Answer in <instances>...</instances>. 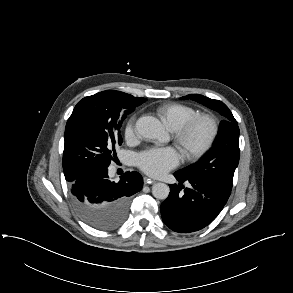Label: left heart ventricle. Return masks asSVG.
I'll return each instance as SVG.
<instances>
[{
  "label": "left heart ventricle",
  "mask_w": 293,
  "mask_h": 293,
  "mask_svg": "<svg viewBox=\"0 0 293 293\" xmlns=\"http://www.w3.org/2000/svg\"><path fill=\"white\" fill-rule=\"evenodd\" d=\"M207 134V127L203 124L197 126L189 136V143L193 146L200 145Z\"/></svg>",
  "instance_id": "1"
}]
</instances>
